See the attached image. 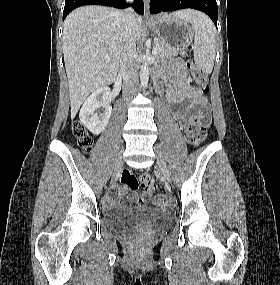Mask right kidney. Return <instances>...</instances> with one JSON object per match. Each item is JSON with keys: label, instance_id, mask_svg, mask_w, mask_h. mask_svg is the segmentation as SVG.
Returning a JSON list of instances; mask_svg holds the SVG:
<instances>
[{"label": "right kidney", "instance_id": "obj_1", "mask_svg": "<svg viewBox=\"0 0 280 285\" xmlns=\"http://www.w3.org/2000/svg\"><path fill=\"white\" fill-rule=\"evenodd\" d=\"M110 90L107 87H101L94 91L84 102L80 110V121L93 134L99 135L107 126L112 107L109 100ZM104 108V112L98 116L95 111Z\"/></svg>", "mask_w": 280, "mask_h": 285}]
</instances>
